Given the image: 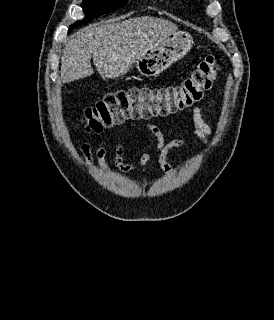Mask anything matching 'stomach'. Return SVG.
I'll use <instances>...</instances> for the list:
<instances>
[{
	"label": "stomach",
	"mask_w": 274,
	"mask_h": 320,
	"mask_svg": "<svg viewBox=\"0 0 274 320\" xmlns=\"http://www.w3.org/2000/svg\"><path fill=\"white\" fill-rule=\"evenodd\" d=\"M193 38L187 32H170L157 40L144 54L143 58H138L135 66L141 76L154 78L167 70L171 64L184 58L192 48Z\"/></svg>",
	"instance_id": "stomach-1"
}]
</instances>
